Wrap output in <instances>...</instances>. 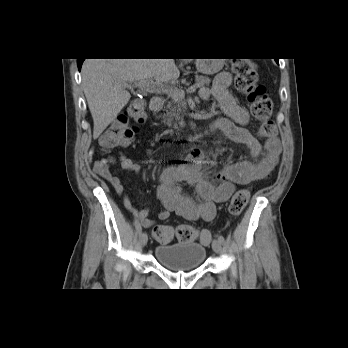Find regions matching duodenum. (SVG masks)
I'll return each mask as SVG.
<instances>
[{
	"label": "duodenum",
	"instance_id": "obj_1",
	"mask_svg": "<svg viewBox=\"0 0 348 348\" xmlns=\"http://www.w3.org/2000/svg\"><path fill=\"white\" fill-rule=\"evenodd\" d=\"M163 103L164 102L160 97H153L149 102V106L153 112H158L162 109ZM189 139L191 141H196V140H198V135L192 134V135H190Z\"/></svg>",
	"mask_w": 348,
	"mask_h": 348
}]
</instances>
